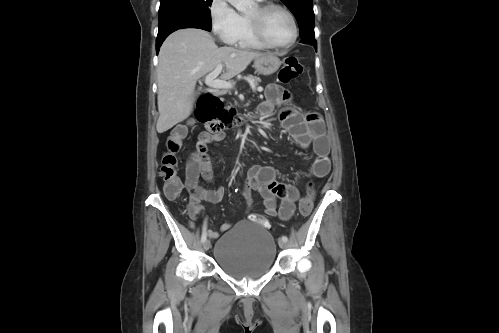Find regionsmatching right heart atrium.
Here are the masks:
<instances>
[{"mask_svg":"<svg viewBox=\"0 0 499 333\" xmlns=\"http://www.w3.org/2000/svg\"><path fill=\"white\" fill-rule=\"evenodd\" d=\"M209 20L213 34L223 43L233 44L241 29V15L228 0H211Z\"/></svg>","mask_w":499,"mask_h":333,"instance_id":"1","label":"right heart atrium"}]
</instances>
